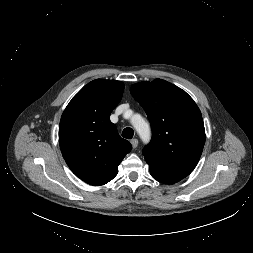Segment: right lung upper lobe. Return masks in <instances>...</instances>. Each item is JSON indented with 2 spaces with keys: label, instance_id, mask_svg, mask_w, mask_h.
Masks as SVG:
<instances>
[{
  "label": "right lung upper lobe",
  "instance_id": "right-lung-upper-lobe-1",
  "mask_svg": "<svg viewBox=\"0 0 253 253\" xmlns=\"http://www.w3.org/2000/svg\"><path fill=\"white\" fill-rule=\"evenodd\" d=\"M124 84L96 79L85 85L64 110L59 125V145L71 171L90 185H104L132 149L110 121L122 98Z\"/></svg>",
  "mask_w": 253,
  "mask_h": 253
}]
</instances>
